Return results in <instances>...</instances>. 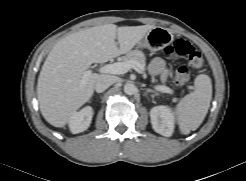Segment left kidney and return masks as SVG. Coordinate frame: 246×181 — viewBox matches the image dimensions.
I'll return each mask as SVG.
<instances>
[{"label": "left kidney", "mask_w": 246, "mask_h": 181, "mask_svg": "<svg viewBox=\"0 0 246 181\" xmlns=\"http://www.w3.org/2000/svg\"><path fill=\"white\" fill-rule=\"evenodd\" d=\"M152 128L155 132L169 137L172 135L175 126L174 115L166 106H156L150 111Z\"/></svg>", "instance_id": "left-kidney-1"}]
</instances>
